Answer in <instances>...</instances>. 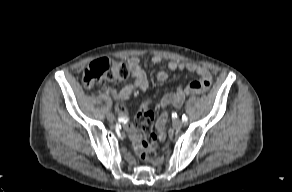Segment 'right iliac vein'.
Listing matches in <instances>:
<instances>
[{
    "mask_svg": "<svg viewBox=\"0 0 292 192\" xmlns=\"http://www.w3.org/2000/svg\"><path fill=\"white\" fill-rule=\"evenodd\" d=\"M107 119L110 121V122H113L115 120V117L112 113H109L107 114Z\"/></svg>",
    "mask_w": 292,
    "mask_h": 192,
    "instance_id": "right-iliac-vein-1",
    "label": "right iliac vein"
}]
</instances>
